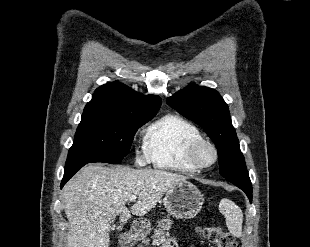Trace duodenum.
<instances>
[{
    "mask_svg": "<svg viewBox=\"0 0 310 247\" xmlns=\"http://www.w3.org/2000/svg\"><path fill=\"white\" fill-rule=\"evenodd\" d=\"M122 243L124 245V247H130L131 245V238L128 234H124L122 236Z\"/></svg>",
    "mask_w": 310,
    "mask_h": 247,
    "instance_id": "duodenum-1",
    "label": "duodenum"
}]
</instances>
